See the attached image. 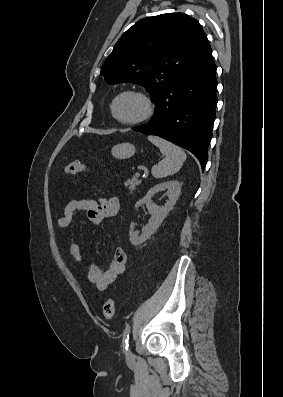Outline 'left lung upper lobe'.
<instances>
[{"label":"left lung upper lobe","mask_w":283,"mask_h":397,"mask_svg":"<svg viewBox=\"0 0 283 397\" xmlns=\"http://www.w3.org/2000/svg\"><path fill=\"white\" fill-rule=\"evenodd\" d=\"M211 47L199 22L184 13L141 19L117 41L101 75L108 84L134 82L157 104L176 79Z\"/></svg>","instance_id":"obj_1"}]
</instances>
